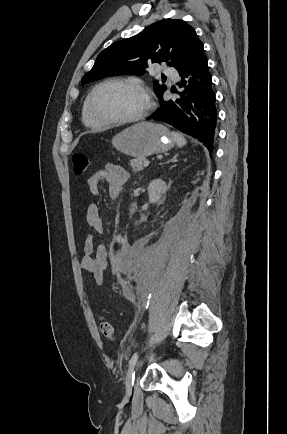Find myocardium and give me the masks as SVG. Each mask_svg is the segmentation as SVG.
<instances>
[{
    "label": "myocardium",
    "mask_w": 287,
    "mask_h": 434,
    "mask_svg": "<svg viewBox=\"0 0 287 434\" xmlns=\"http://www.w3.org/2000/svg\"><path fill=\"white\" fill-rule=\"evenodd\" d=\"M109 84H119V85L129 86V87H133V88L140 90L145 95L146 100H147V104H146V107L144 108V110L141 111L138 115H135V116H132L129 118H125V119H106V118L100 117L94 109V105H93L94 97H95L96 93L102 87L109 85ZM86 104H87L88 113L91 116V118L94 121H96L98 124H100L101 126H103V125H128V124L137 123V122L145 119L153 107L152 96H151V93H150L148 87L143 82H141L139 80L126 79V78H109V79H106V80L100 82L92 89V91L88 95Z\"/></svg>",
    "instance_id": "myocardium-1"
}]
</instances>
